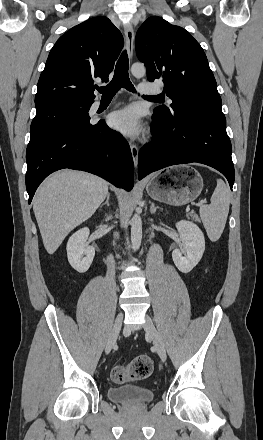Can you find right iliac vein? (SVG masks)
I'll use <instances>...</instances> for the list:
<instances>
[{
	"instance_id": "right-iliac-vein-1",
	"label": "right iliac vein",
	"mask_w": 263,
	"mask_h": 440,
	"mask_svg": "<svg viewBox=\"0 0 263 440\" xmlns=\"http://www.w3.org/2000/svg\"><path fill=\"white\" fill-rule=\"evenodd\" d=\"M122 321H123V313L119 312L116 316V319L114 321L113 327L111 329V332L108 336L106 345H105V353L108 354L111 349L114 347L117 337L119 335L120 329H121V325H122Z\"/></svg>"
}]
</instances>
